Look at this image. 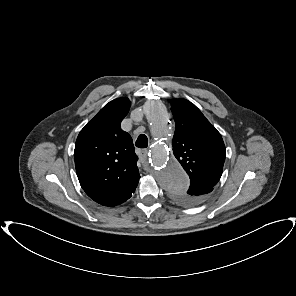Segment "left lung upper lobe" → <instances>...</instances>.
<instances>
[{"label": "left lung upper lobe", "mask_w": 296, "mask_h": 296, "mask_svg": "<svg viewBox=\"0 0 296 296\" xmlns=\"http://www.w3.org/2000/svg\"><path fill=\"white\" fill-rule=\"evenodd\" d=\"M176 124L173 153L190 177L184 191H172L175 202L195 205L204 201L220 180L225 161V145L220 133L202 112L186 99H172Z\"/></svg>", "instance_id": "obj_1"}]
</instances>
